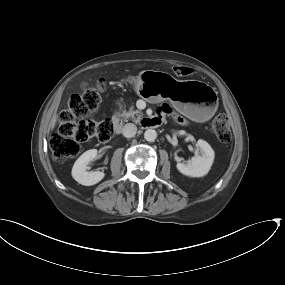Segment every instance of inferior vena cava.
<instances>
[{"label":"inferior vena cava","mask_w":285,"mask_h":285,"mask_svg":"<svg viewBox=\"0 0 285 285\" xmlns=\"http://www.w3.org/2000/svg\"><path fill=\"white\" fill-rule=\"evenodd\" d=\"M137 132V127L135 124L133 123H127L124 125L123 129H122V134L124 137L126 138H132L135 136Z\"/></svg>","instance_id":"602c4592"}]
</instances>
